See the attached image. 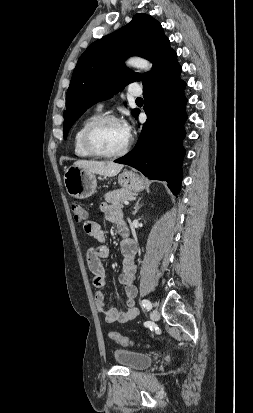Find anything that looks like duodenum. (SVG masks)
<instances>
[{
    "label": "duodenum",
    "instance_id": "obj_1",
    "mask_svg": "<svg viewBox=\"0 0 253 413\" xmlns=\"http://www.w3.org/2000/svg\"><path fill=\"white\" fill-rule=\"evenodd\" d=\"M125 236L129 237V231L128 230L125 231Z\"/></svg>",
    "mask_w": 253,
    "mask_h": 413
}]
</instances>
